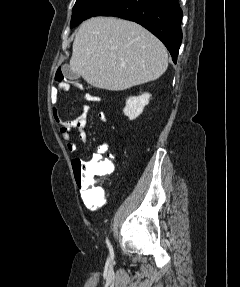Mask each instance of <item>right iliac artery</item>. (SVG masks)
<instances>
[{
	"instance_id": "82829eb1",
	"label": "right iliac artery",
	"mask_w": 240,
	"mask_h": 287,
	"mask_svg": "<svg viewBox=\"0 0 240 287\" xmlns=\"http://www.w3.org/2000/svg\"><path fill=\"white\" fill-rule=\"evenodd\" d=\"M106 244H107L108 248H109L110 251H111V250H112V247H111V245H110V242H109L108 238L106 239ZM111 253H112V252H111Z\"/></svg>"
}]
</instances>
